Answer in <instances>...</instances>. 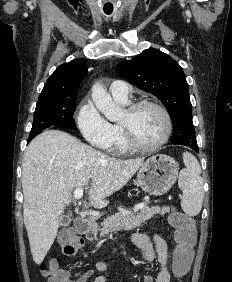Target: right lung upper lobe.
<instances>
[{"instance_id":"1","label":"right lung upper lobe","mask_w":232,"mask_h":282,"mask_svg":"<svg viewBox=\"0 0 232 282\" xmlns=\"http://www.w3.org/2000/svg\"><path fill=\"white\" fill-rule=\"evenodd\" d=\"M85 60H73L60 65L48 78L41 95L77 94L79 83L87 75Z\"/></svg>"}]
</instances>
